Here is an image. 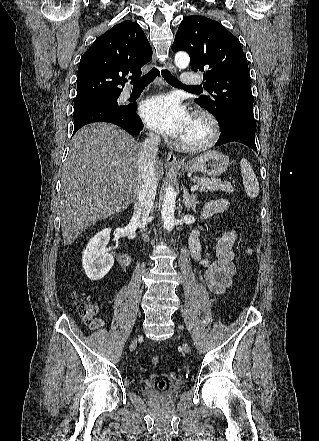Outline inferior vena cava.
I'll return each instance as SVG.
<instances>
[{
	"label": "inferior vena cava",
	"instance_id": "1",
	"mask_svg": "<svg viewBox=\"0 0 319 441\" xmlns=\"http://www.w3.org/2000/svg\"><path fill=\"white\" fill-rule=\"evenodd\" d=\"M159 144L160 136L156 133H149V137L140 145L139 191L134 200L132 220L140 226L142 236L146 241L149 240L146 221L154 206L157 190L155 162Z\"/></svg>",
	"mask_w": 319,
	"mask_h": 441
}]
</instances>
